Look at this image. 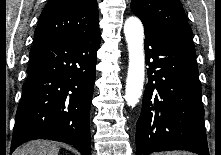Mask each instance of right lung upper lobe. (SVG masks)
I'll use <instances>...</instances> for the list:
<instances>
[{"instance_id": "right-lung-upper-lobe-1", "label": "right lung upper lobe", "mask_w": 221, "mask_h": 155, "mask_svg": "<svg viewBox=\"0 0 221 155\" xmlns=\"http://www.w3.org/2000/svg\"><path fill=\"white\" fill-rule=\"evenodd\" d=\"M99 29L96 0H49L34 33V40L87 34Z\"/></svg>"}]
</instances>
